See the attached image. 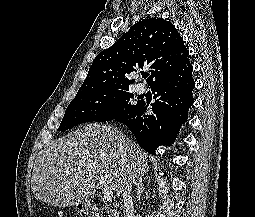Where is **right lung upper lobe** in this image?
Listing matches in <instances>:
<instances>
[{
	"mask_svg": "<svg viewBox=\"0 0 255 217\" xmlns=\"http://www.w3.org/2000/svg\"><path fill=\"white\" fill-rule=\"evenodd\" d=\"M189 52L175 26L162 19H145L132 26L94 59L78 93L129 87L127 76L149 67L151 84L186 61Z\"/></svg>",
	"mask_w": 255,
	"mask_h": 217,
	"instance_id": "1",
	"label": "right lung upper lobe"
}]
</instances>
